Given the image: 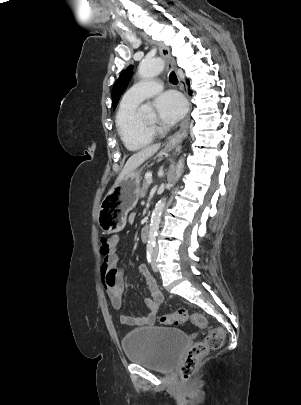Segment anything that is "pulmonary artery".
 Wrapping results in <instances>:
<instances>
[{
    "instance_id": "pulmonary-artery-1",
    "label": "pulmonary artery",
    "mask_w": 301,
    "mask_h": 405,
    "mask_svg": "<svg viewBox=\"0 0 301 405\" xmlns=\"http://www.w3.org/2000/svg\"><path fill=\"white\" fill-rule=\"evenodd\" d=\"M163 89V84L159 80L148 79L133 85L123 96V102L129 104H139L144 99L149 98Z\"/></svg>"
}]
</instances>
